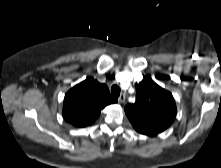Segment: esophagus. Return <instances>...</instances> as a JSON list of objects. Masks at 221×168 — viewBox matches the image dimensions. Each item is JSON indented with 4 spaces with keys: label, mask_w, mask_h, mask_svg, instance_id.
I'll return each mask as SVG.
<instances>
[{
    "label": "esophagus",
    "mask_w": 221,
    "mask_h": 168,
    "mask_svg": "<svg viewBox=\"0 0 221 168\" xmlns=\"http://www.w3.org/2000/svg\"><path fill=\"white\" fill-rule=\"evenodd\" d=\"M125 99H126L125 94H121V95L118 97V102H119V103H124V102H125Z\"/></svg>",
    "instance_id": "1"
}]
</instances>
